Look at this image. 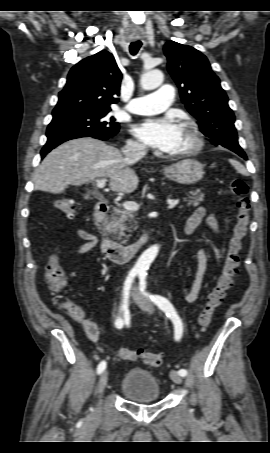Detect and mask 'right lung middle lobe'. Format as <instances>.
Listing matches in <instances>:
<instances>
[{
  "instance_id": "dd1d6c3e",
  "label": "right lung middle lobe",
  "mask_w": 270,
  "mask_h": 453,
  "mask_svg": "<svg viewBox=\"0 0 270 453\" xmlns=\"http://www.w3.org/2000/svg\"><path fill=\"white\" fill-rule=\"evenodd\" d=\"M110 110L86 111L54 117L47 128L49 131L92 132L104 136H114L119 131V123L110 117Z\"/></svg>"
}]
</instances>
